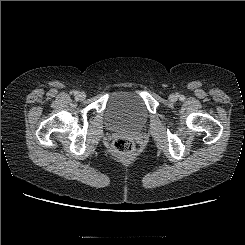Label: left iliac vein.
Returning a JSON list of instances; mask_svg holds the SVG:
<instances>
[{"mask_svg":"<svg viewBox=\"0 0 245 245\" xmlns=\"http://www.w3.org/2000/svg\"><path fill=\"white\" fill-rule=\"evenodd\" d=\"M169 100H170L171 102H175V101L177 100V96L174 95V94H171V95L169 96Z\"/></svg>","mask_w":245,"mask_h":245,"instance_id":"1","label":"left iliac vein"}]
</instances>
